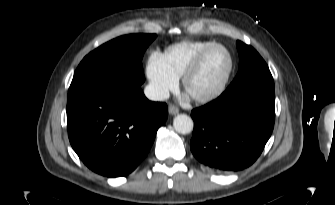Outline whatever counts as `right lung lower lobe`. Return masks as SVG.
Instances as JSON below:
<instances>
[{"mask_svg": "<svg viewBox=\"0 0 335 205\" xmlns=\"http://www.w3.org/2000/svg\"><path fill=\"white\" fill-rule=\"evenodd\" d=\"M167 115V105L149 101L140 87H91L67 98L72 148L88 168L107 177L128 175L139 165Z\"/></svg>", "mask_w": 335, "mask_h": 205, "instance_id": "98d812e1", "label": "right lung lower lobe"}]
</instances>
